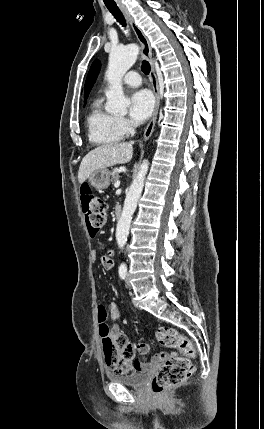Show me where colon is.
I'll return each instance as SVG.
<instances>
[{"label":"colon","mask_w":264,"mask_h":429,"mask_svg":"<svg viewBox=\"0 0 264 429\" xmlns=\"http://www.w3.org/2000/svg\"><path fill=\"white\" fill-rule=\"evenodd\" d=\"M80 199L88 230L94 236L106 222L107 206L88 185L81 187ZM98 310V322L104 324L106 311L104 307H99ZM156 338L161 345L182 353V356L170 355L154 375L152 391L161 395L180 385L192 375L194 367L191 358L195 355V347L190 340L170 327H160L156 332ZM103 353L106 364L115 373L130 372H126L125 366L133 359L134 350L124 335L106 339L103 344Z\"/></svg>","instance_id":"obj_1"}]
</instances>
